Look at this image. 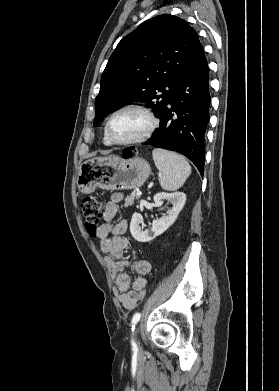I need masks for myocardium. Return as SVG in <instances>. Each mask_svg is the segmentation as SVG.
<instances>
[{"label":"myocardium","instance_id":"obj_1","mask_svg":"<svg viewBox=\"0 0 279 391\" xmlns=\"http://www.w3.org/2000/svg\"><path fill=\"white\" fill-rule=\"evenodd\" d=\"M126 110H134V111H138V112H141L142 114H144L146 116V118L148 119V126L140 135H138L132 139H129L126 141H117V140L113 139L110 135L111 121L118 113L126 111ZM158 125H159V121H158L157 117L155 116L154 112L148 106H146L144 104H140V103H129V104H125V105L117 108L116 110H114L110 114V116L108 117L107 122L105 124V136L111 145L127 146V145L138 144V143H141V142L148 140L153 135V133L156 131Z\"/></svg>","mask_w":279,"mask_h":391}]
</instances>
